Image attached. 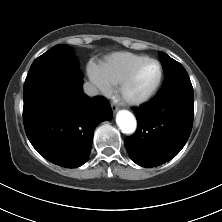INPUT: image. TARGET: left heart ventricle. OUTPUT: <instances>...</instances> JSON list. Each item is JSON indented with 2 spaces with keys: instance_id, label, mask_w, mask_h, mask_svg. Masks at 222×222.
Masks as SVG:
<instances>
[{
  "instance_id": "left-heart-ventricle-1",
  "label": "left heart ventricle",
  "mask_w": 222,
  "mask_h": 222,
  "mask_svg": "<svg viewBox=\"0 0 222 222\" xmlns=\"http://www.w3.org/2000/svg\"><path fill=\"white\" fill-rule=\"evenodd\" d=\"M158 78V67L155 63H146L136 74L132 83L125 91V96L137 99L149 92Z\"/></svg>"
}]
</instances>
